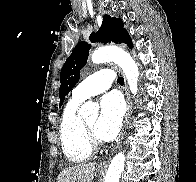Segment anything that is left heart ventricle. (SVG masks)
<instances>
[{
  "mask_svg": "<svg viewBox=\"0 0 196 182\" xmlns=\"http://www.w3.org/2000/svg\"><path fill=\"white\" fill-rule=\"evenodd\" d=\"M97 121H98L97 117H93V118L86 120L85 123L91 131L95 132Z\"/></svg>",
  "mask_w": 196,
  "mask_h": 182,
  "instance_id": "1",
  "label": "left heart ventricle"
}]
</instances>
